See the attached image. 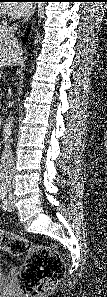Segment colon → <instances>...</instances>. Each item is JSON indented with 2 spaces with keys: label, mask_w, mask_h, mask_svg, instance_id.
<instances>
[{
  "label": "colon",
  "mask_w": 107,
  "mask_h": 297,
  "mask_svg": "<svg viewBox=\"0 0 107 297\" xmlns=\"http://www.w3.org/2000/svg\"><path fill=\"white\" fill-rule=\"evenodd\" d=\"M0 248L13 255H25L26 262L19 284L29 297H39L50 292L63 275L61 258L47 246L32 244L13 233L1 231Z\"/></svg>",
  "instance_id": "colon-1"
}]
</instances>
